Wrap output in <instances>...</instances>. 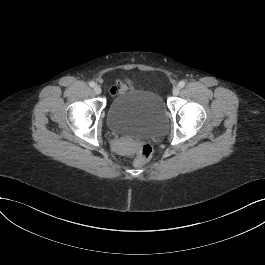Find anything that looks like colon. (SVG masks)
<instances>
[{
    "label": "colon",
    "mask_w": 265,
    "mask_h": 265,
    "mask_svg": "<svg viewBox=\"0 0 265 265\" xmlns=\"http://www.w3.org/2000/svg\"><path fill=\"white\" fill-rule=\"evenodd\" d=\"M153 153L152 146L149 144H143L138 148L134 164L136 167L142 166Z\"/></svg>",
    "instance_id": "colon-1"
}]
</instances>
